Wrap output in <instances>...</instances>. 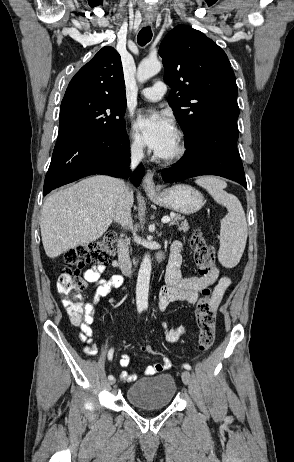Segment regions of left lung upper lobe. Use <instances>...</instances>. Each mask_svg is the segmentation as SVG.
<instances>
[{
    "label": "left lung upper lobe",
    "mask_w": 294,
    "mask_h": 462,
    "mask_svg": "<svg viewBox=\"0 0 294 462\" xmlns=\"http://www.w3.org/2000/svg\"><path fill=\"white\" fill-rule=\"evenodd\" d=\"M164 80L172 88L168 103L186 138L226 106H236L235 74L225 52L202 32L178 25L162 41Z\"/></svg>",
    "instance_id": "1"
}]
</instances>
